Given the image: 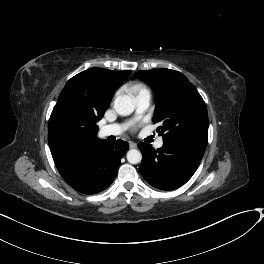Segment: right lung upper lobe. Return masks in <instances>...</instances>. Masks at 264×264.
I'll list each match as a JSON object with an SVG mask.
<instances>
[{"mask_svg":"<svg viewBox=\"0 0 264 264\" xmlns=\"http://www.w3.org/2000/svg\"><path fill=\"white\" fill-rule=\"evenodd\" d=\"M131 71L92 68L72 77L61 91L48 125V143L57 168L73 161L93 145L96 123Z\"/></svg>","mask_w":264,"mask_h":264,"instance_id":"obj_1","label":"right lung upper lobe"}]
</instances>
